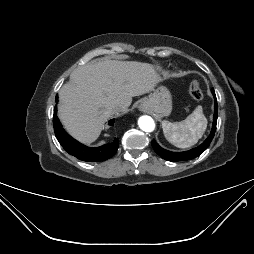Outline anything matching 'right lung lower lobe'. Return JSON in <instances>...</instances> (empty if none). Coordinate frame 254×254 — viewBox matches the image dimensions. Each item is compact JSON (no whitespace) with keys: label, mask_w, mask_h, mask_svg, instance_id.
Returning a JSON list of instances; mask_svg holds the SVG:
<instances>
[{"label":"right lung lower lobe","mask_w":254,"mask_h":254,"mask_svg":"<svg viewBox=\"0 0 254 254\" xmlns=\"http://www.w3.org/2000/svg\"><path fill=\"white\" fill-rule=\"evenodd\" d=\"M58 101V96H56V102ZM57 108H54L53 115V127L56 138L58 139L61 146L67 151L69 154L74 157L88 162H100L105 161L111 158L118 149V139L115 138L114 141L110 144H105L101 147L90 148L87 147L75 139H73L70 135H68L65 130L62 128V125L57 117ZM114 120H110L109 125H113Z\"/></svg>","instance_id":"right-lung-lower-lobe-1"}]
</instances>
